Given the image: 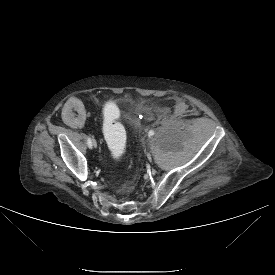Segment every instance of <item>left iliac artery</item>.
<instances>
[{
  "instance_id": "obj_1",
  "label": "left iliac artery",
  "mask_w": 275,
  "mask_h": 275,
  "mask_svg": "<svg viewBox=\"0 0 275 275\" xmlns=\"http://www.w3.org/2000/svg\"><path fill=\"white\" fill-rule=\"evenodd\" d=\"M148 134H149V136H153L154 135V131L150 130Z\"/></svg>"
}]
</instances>
